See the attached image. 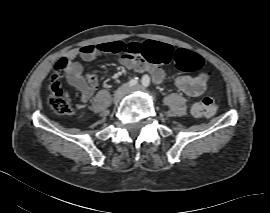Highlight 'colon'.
Segmentation results:
<instances>
[{
  "mask_svg": "<svg viewBox=\"0 0 270 213\" xmlns=\"http://www.w3.org/2000/svg\"><path fill=\"white\" fill-rule=\"evenodd\" d=\"M104 49L108 53L114 54H130L133 56L148 55L149 50L135 42L115 41L104 45ZM174 65L183 71H196L200 68L202 57L196 53L180 50L172 60ZM207 76H211L210 71H206ZM61 73L54 70L51 74L52 86L48 96V103L58 114H70L72 112V105L69 94L63 89L61 85ZM217 109L216 101L214 98L206 96L196 101L192 106V113L198 117H210Z\"/></svg>",
  "mask_w": 270,
  "mask_h": 213,
  "instance_id": "colon-1",
  "label": "colon"
}]
</instances>
